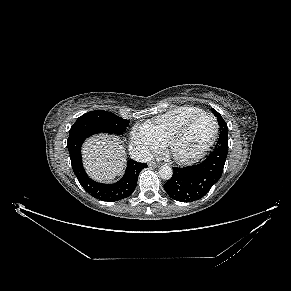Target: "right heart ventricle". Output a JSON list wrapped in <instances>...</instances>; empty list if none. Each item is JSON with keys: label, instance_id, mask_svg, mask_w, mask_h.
Here are the masks:
<instances>
[{"label": "right heart ventricle", "instance_id": "e07e8e85", "mask_svg": "<svg viewBox=\"0 0 291 291\" xmlns=\"http://www.w3.org/2000/svg\"><path fill=\"white\" fill-rule=\"evenodd\" d=\"M202 112L203 110L197 107H177L145 123L140 129L161 146L184 122Z\"/></svg>", "mask_w": 291, "mask_h": 291}]
</instances>
